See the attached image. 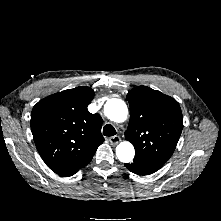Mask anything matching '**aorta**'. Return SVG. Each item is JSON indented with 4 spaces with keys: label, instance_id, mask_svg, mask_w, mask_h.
<instances>
[{
    "label": "aorta",
    "instance_id": "obj_1",
    "mask_svg": "<svg viewBox=\"0 0 221 221\" xmlns=\"http://www.w3.org/2000/svg\"><path fill=\"white\" fill-rule=\"evenodd\" d=\"M104 113L111 121L122 123L128 117V108L121 99H109L104 105ZM117 158L123 163H129L133 160L135 150L133 145L128 141L119 143L116 147Z\"/></svg>",
    "mask_w": 221,
    "mask_h": 221
}]
</instances>
